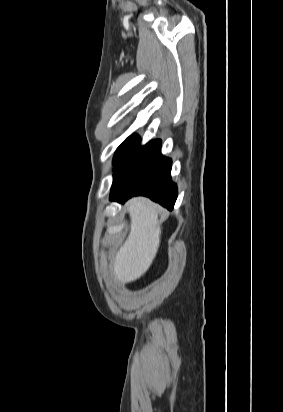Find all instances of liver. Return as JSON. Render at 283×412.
Returning <instances> with one entry per match:
<instances>
[{
	"label": "liver",
	"mask_w": 283,
	"mask_h": 412,
	"mask_svg": "<svg viewBox=\"0 0 283 412\" xmlns=\"http://www.w3.org/2000/svg\"><path fill=\"white\" fill-rule=\"evenodd\" d=\"M130 233L113 262L114 276L121 283L140 278L156 257L161 236L158 207L144 198L128 203Z\"/></svg>",
	"instance_id": "1"
}]
</instances>
